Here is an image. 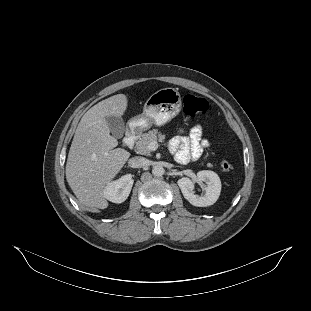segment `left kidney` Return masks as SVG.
<instances>
[{
	"label": "left kidney",
	"instance_id": "obj_1",
	"mask_svg": "<svg viewBox=\"0 0 311 311\" xmlns=\"http://www.w3.org/2000/svg\"><path fill=\"white\" fill-rule=\"evenodd\" d=\"M197 180L205 184L203 196L195 195V184L191 178L182 177L178 179L177 184L184 198L196 207H206L214 204L221 191V182L218 175L213 171H199Z\"/></svg>",
	"mask_w": 311,
	"mask_h": 311
}]
</instances>
